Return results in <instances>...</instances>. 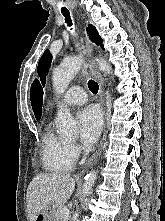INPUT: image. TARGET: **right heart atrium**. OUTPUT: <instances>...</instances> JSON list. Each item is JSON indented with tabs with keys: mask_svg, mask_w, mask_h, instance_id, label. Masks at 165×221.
I'll use <instances>...</instances> for the list:
<instances>
[{
	"mask_svg": "<svg viewBox=\"0 0 165 221\" xmlns=\"http://www.w3.org/2000/svg\"><path fill=\"white\" fill-rule=\"evenodd\" d=\"M70 148L72 150V152L76 155L78 154L79 152V147L74 143V142H71L70 143Z\"/></svg>",
	"mask_w": 165,
	"mask_h": 221,
	"instance_id": "obj_1",
	"label": "right heart atrium"
}]
</instances>
